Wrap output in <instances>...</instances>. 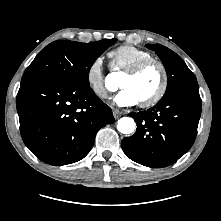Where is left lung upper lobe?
<instances>
[{"label": "left lung upper lobe", "mask_w": 221, "mask_h": 221, "mask_svg": "<svg viewBox=\"0 0 221 221\" xmlns=\"http://www.w3.org/2000/svg\"><path fill=\"white\" fill-rule=\"evenodd\" d=\"M146 46L154 50L164 64L168 85L163 97L182 89H198L195 75L175 52L160 44H147Z\"/></svg>", "instance_id": "left-lung-upper-lobe-1"}]
</instances>
